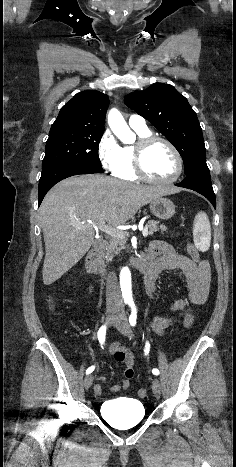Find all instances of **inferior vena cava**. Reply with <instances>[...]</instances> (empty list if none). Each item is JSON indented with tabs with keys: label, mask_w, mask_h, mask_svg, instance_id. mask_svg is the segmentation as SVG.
<instances>
[{
	"label": "inferior vena cava",
	"mask_w": 236,
	"mask_h": 467,
	"mask_svg": "<svg viewBox=\"0 0 236 467\" xmlns=\"http://www.w3.org/2000/svg\"><path fill=\"white\" fill-rule=\"evenodd\" d=\"M106 304L108 307H123V299L120 292L117 276L114 272H110L106 283Z\"/></svg>",
	"instance_id": "inferior-vena-cava-1"
}]
</instances>
